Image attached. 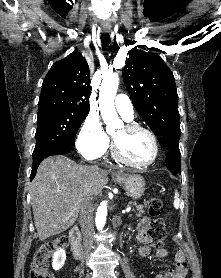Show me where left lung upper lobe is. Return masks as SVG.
<instances>
[{"label": "left lung upper lobe", "instance_id": "obj_1", "mask_svg": "<svg viewBox=\"0 0 221 278\" xmlns=\"http://www.w3.org/2000/svg\"><path fill=\"white\" fill-rule=\"evenodd\" d=\"M131 50L122 70L132 103L162 148H179L180 116L173 73L154 53Z\"/></svg>", "mask_w": 221, "mask_h": 278}]
</instances>
